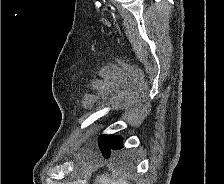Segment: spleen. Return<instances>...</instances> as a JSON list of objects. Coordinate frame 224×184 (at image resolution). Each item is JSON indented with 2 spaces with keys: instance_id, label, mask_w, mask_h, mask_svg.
Segmentation results:
<instances>
[{
  "instance_id": "spleen-1",
  "label": "spleen",
  "mask_w": 224,
  "mask_h": 184,
  "mask_svg": "<svg viewBox=\"0 0 224 184\" xmlns=\"http://www.w3.org/2000/svg\"><path fill=\"white\" fill-rule=\"evenodd\" d=\"M95 184H127L123 178L111 179L108 174L98 176Z\"/></svg>"
}]
</instances>
